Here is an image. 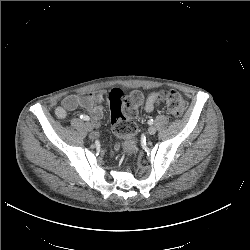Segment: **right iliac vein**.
Wrapping results in <instances>:
<instances>
[{"label": "right iliac vein", "instance_id": "1", "mask_svg": "<svg viewBox=\"0 0 250 250\" xmlns=\"http://www.w3.org/2000/svg\"><path fill=\"white\" fill-rule=\"evenodd\" d=\"M85 127L88 131H92L93 130V125L90 122H86L85 123Z\"/></svg>", "mask_w": 250, "mask_h": 250}]
</instances>
